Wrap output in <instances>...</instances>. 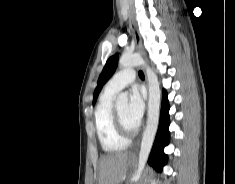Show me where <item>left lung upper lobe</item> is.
Returning <instances> with one entry per match:
<instances>
[{"label":"left lung upper lobe","instance_id":"left-lung-upper-lobe-1","mask_svg":"<svg viewBox=\"0 0 235 184\" xmlns=\"http://www.w3.org/2000/svg\"><path fill=\"white\" fill-rule=\"evenodd\" d=\"M118 55H114L112 57H110L104 68L103 71L101 72L98 82H97V87L94 91V95H93V105L95 104L98 94L100 92V90L102 89L103 85L108 81V79L113 75V73L115 72V69L117 67V63H118Z\"/></svg>","mask_w":235,"mask_h":184}]
</instances>
